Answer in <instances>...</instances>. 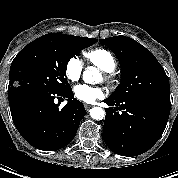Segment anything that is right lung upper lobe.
<instances>
[{"instance_id": "obj_1", "label": "right lung upper lobe", "mask_w": 178, "mask_h": 178, "mask_svg": "<svg viewBox=\"0 0 178 178\" xmlns=\"http://www.w3.org/2000/svg\"><path fill=\"white\" fill-rule=\"evenodd\" d=\"M49 34H57V33H49ZM60 35H66V34H60ZM67 36H73V35H67Z\"/></svg>"}]
</instances>
